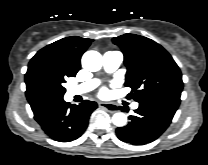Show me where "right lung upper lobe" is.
<instances>
[{
	"instance_id": "1",
	"label": "right lung upper lobe",
	"mask_w": 208,
	"mask_h": 165,
	"mask_svg": "<svg viewBox=\"0 0 208 165\" xmlns=\"http://www.w3.org/2000/svg\"><path fill=\"white\" fill-rule=\"evenodd\" d=\"M93 40L77 36L58 40L43 49L38 54L47 53L55 57L66 68L77 73L80 69V59ZM43 105L31 106L33 112Z\"/></svg>"
}]
</instances>
